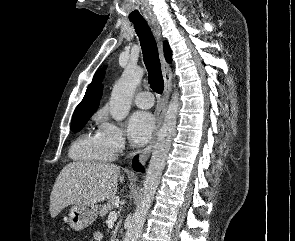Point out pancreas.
Wrapping results in <instances>:
<instances>
[{"label": "pancreas", "mask_w": 295, "mask_h": 241, "mask_svg": "<svg viewBox=\"0 0 295 241\" xmlns=\"http://www.w3.org/2000/svg\"><path fill=\"white\" fill-rule=\"evenodd\" d=\"M114 207H115V200L114 199L108 200V202L100 208L99 216L104 217L108 212L113 210Z\"/></svg>", "instance_id": "cf45deb5"}]
</instances>
